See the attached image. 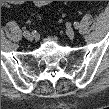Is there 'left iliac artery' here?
Returning a JSON list of instances; mask_svg holds the SVG:
<instances>
[{
	"mask_svg": "<svg viewBox=\"0 0 109 109\" xmlns=\"http://www.w3.org/2000/svg\"><path fill=\"white\" fill-rule=\"evenodd\" d=\"M74 27L77 29L79 27V23L78 22H74Z\"/></svg>",
	"mask_w": 109,
	"mask_h": 109,
	"instance_id": "left-iliac-artery-1",
	"label": "left iliac artery"
}]
</instances>
